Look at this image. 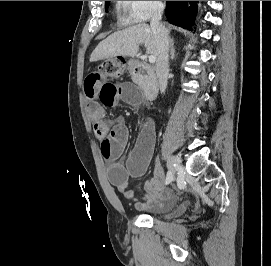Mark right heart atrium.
<instances>
[{
    "mask_svg": "<svg viewBox=\"0 0 271 266\" xmlns=\"http://www.w3.org/2000/svg\"><path fill=\"white\" fill-rule=\"evenodd\" d=\"M120 5L130 24L145 23L163 8L162 1H120Z\"/></svg>",
    "mask_w": 271,
    "mask_h": 266,
    "instance_id": "obj_1",
    "label": "right heart atrium"
}]
</instances>
